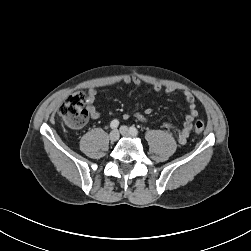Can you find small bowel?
<instances>
[{"label":"small bowel","instance_id":"obj_1","mask_svg":"<svg viewBox=\"0 0 251 251\" xmlns=\"http://www.w3.org/2000/svg\"><path fill=\"white\" fill-rule=\"evenodd\" d=\"M122 83L124 84H133L135 86H141L143 84V81L135 76H125L122 79ZM152 89L155 93H158L162 90V86L160 84H153ZM176 90L172 87L165 88L166 93H173ZM97 97V90L95 88L88 89L87 92V112L90 118L92 119H98L100 117V112L97 110V108L94 105V102ZM183 97L185 101L189 105V112L186 114L182 127L176 128L170 123H164V127L170 130L175 131L177 140L180 144H185L188 137L190 136V133L192 131L193 127V121L198 116V111L195 104V98L189 91L183 92ZM152 113L151 108L145 109L143 113L136 112L134 113V117L137 118L140 121H147V116H149ZM124 119H128L130 117L129 114L123 115Z\"/></svg>","mask_w":251,"mask_h":251}]
</instances>
